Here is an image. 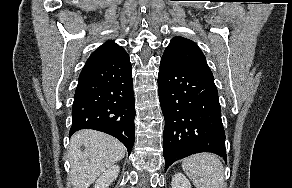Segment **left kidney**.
<instances>
[{"label": "left kidney", "instance_id": "1", "mask_svg": "<svg viewBox=\"0 0 292 188\" xmlns=\"http://www.w3.org/2000/svg\"><path fill=\"white\" fill-rule=\"evenodd\" d=\"M172 188H192L189 180L182 173H176L171 182Z\"/></svg>", "mask_w": 292, "mask_h": 188}]
</instances>
